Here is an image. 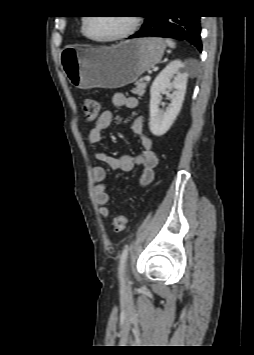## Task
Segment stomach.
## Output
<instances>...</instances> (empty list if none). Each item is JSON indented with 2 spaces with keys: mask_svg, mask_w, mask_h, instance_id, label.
<instances>
[{
  "mask_svg": "<svg viewBox=\"0 0 254 355\" xmlns=\"http://www.w3.org/2000/svg\"><path fill=\"white\" fill-rule=\"evenodd\" d=\"M165 43L156 37L124 41L112 47L66 46L60 62L70 83L80 89L119 88L155 66Z\"/></svg>",
  "mask_w": 254,
  "mask_h": 355,
  "instance_id": "0dacf381",
  "label": "stomach"
}]
</instances>
